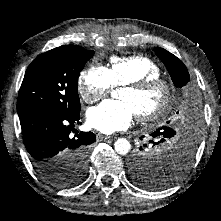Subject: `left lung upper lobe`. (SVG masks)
<instances>
[{"mask_svg": "<svg viewBox=\"0 0 221 221\" xmlns=\"http://www.w3.org/2000/svg\"><path fill=\"white\" fill-rule=\"evenodd\" d=\"M156 53L166 65L175 87L187 89L190 76L183 62L163 48L157 47ZM160 130H162V127L152 134L154 140H150V143L153 145H158L168 139L159 135L158 131ZM188 161L182 151H174L162 157H155L140 148V151L135 152L129 161L131 178L143 188H164L175 182L182 175Z\"/></svg>", "mask_w": 221, "mask_h": 221, "instance_id": "1", "label": "left lung upper lobe"}]
</instances>
